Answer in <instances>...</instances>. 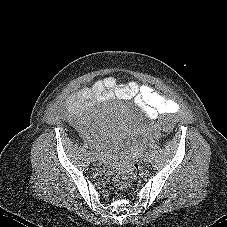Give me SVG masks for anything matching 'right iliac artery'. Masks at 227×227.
I'll use <instances>...</instances> for the list:
<instances>
[{
    "mask_svg": "<svg viewBox=\"0 0 227 227\" xmlns=\"http://www.w3.org/2000/svg\"><path fill=\"white\" fill-rule=\"evenodd\" d=\"M84 147H85V148H88V144H87V143H85V144H84Z\"/></svg>",
    "mask_w": 227,
    "mask_h": 227,
    "instance_id": "82829eb1",
    "label": "right iliac artery"
}]
</instances>
